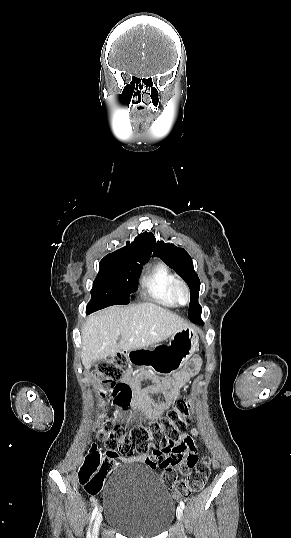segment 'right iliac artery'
<instances>
[{"mask_svg": "<svg viewBox=\"0 0 291 538\" xmlns=\"http://www.w3.org/2000/svg\"><path fill=\"white\" fill-rule=\"evenodd\" d=\"M97 511H98V506L96 505L95 508H94V510H93V512H92V515H91L90 524L92 523V521H93V519H94V517H95ZM86 538H91L90 527H89V529H88L87 537H86Z\"/></svg>", "mask_w": 291, "mask_h": 538, "instance_id": "right-iliac-artery-1", "label": "right iliac artery"}]
</instances>
